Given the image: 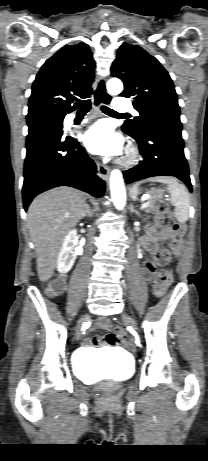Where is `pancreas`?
<instances>
[{
    "instance_id": "pancreas-1",
    "label": "pancreas",
    "mask_w": 208,
    "mask_h": 461,
    "mask_svg": "<svg viewBox=\"0 0 208 461\" xmlns=\"http://www.w3.org/2000/svg\"><path fill=\"white\" fill-rule=\"evenodd\" d=\"M149 201H150V204L147 205L146 207H143V208H146L147 211L156 210L158 207H156V206L154 205L155 200H154L153 198H150Z\"/></svg>"
}]
</instances>
